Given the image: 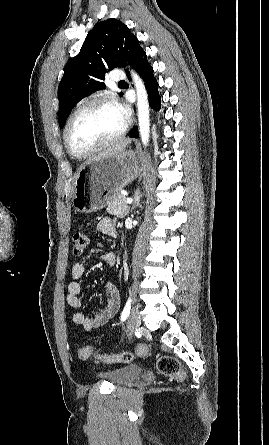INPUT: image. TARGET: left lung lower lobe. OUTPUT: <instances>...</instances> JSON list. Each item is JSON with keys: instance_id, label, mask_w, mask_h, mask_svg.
Here are the masks:
<instances>
[{"instance_id": "0a47b994", "label": "left lung lower lobe", "mask_w": 269, "mask_h": 445, "mask_svg": "<svg viewBox=\"0 0 269 445\" xmlns=\"http://www.w3.org/2000/svg\"><path fill=\"white\" fill-rule=\"evenodd\" d=\"M133 68L139 72L147 89L150 106L158 111L161 107V97L158 93V82L153 74V68L147 60L146 53L143 52L139 60L135 63ZM139 133L135 127L130 133L129 137L137 138Z\"/></svg>"}]
</instances>
